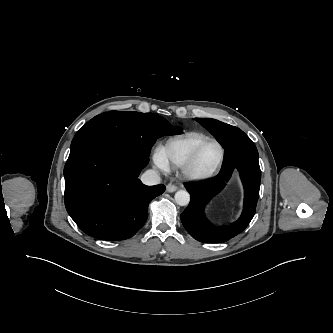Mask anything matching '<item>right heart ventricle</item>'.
Masks as SVG:
<instances>
[{"mask_svg":"<svg viewBox=\"0 0 333 333\" xmlns=\"http://www.w3.org/2000/svg\"><path fill=\"white\" fill-rule=\"evenodd\" d=\"M209 138L201 132H188L167 139L158 150L169 168H181L199 143Z\"/></svg>","mask_w":333,"mask_h":333,"instance_id":"right-heart-ventricle-1","label":"right heart ventricle"}]
</instances>
